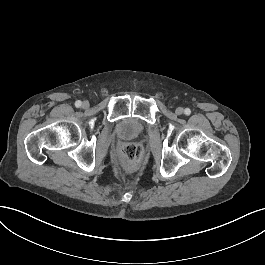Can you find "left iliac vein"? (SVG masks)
Listing matches in <instances>:
<instances>
[{"mask_svg": "<svg viewBox=\"0 0 265 265\" xmlns=\"http://www.w3.org/2000/svg\"><path fill=\"white\" fill-rule=\"evenodd\" d=\"M183 108L182 107H177L176 108V110H175V113L177 114V115H181L182 113H183Z\"/></svg>", "mask_w": 265, "mask_h": 265, "instance_id": "1", "label": "left iliac vein"}]
</instances>
